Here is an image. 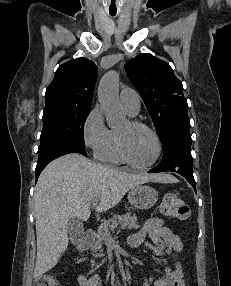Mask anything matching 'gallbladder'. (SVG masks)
<instances>
[{"mask_svg":"<svg viewBox=\"0 0 231 286\" xmlns=\"http://www.w3.org/2000/svg\"><path fill=\"white\" fill-rule=\"evenodd\" d=\"M69 234H83L82 218L80 216H73L68 221Z\"/></svg>","mask_w":231,"mask_h":286,"instance_id":"obj_1","label":"gallbladder"}]
</instances>
